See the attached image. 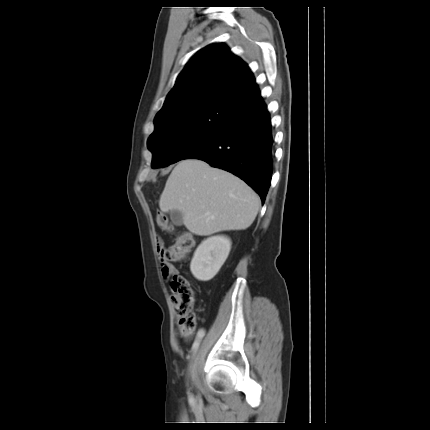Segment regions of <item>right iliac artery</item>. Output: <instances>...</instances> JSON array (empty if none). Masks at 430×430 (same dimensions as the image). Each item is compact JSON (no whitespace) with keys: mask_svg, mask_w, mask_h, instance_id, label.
Segmentation results:
<instances>
[{"mask_svg":"<svg viewBox=\"0 0 430 430\" xmlns=\"http://www.w3.org/2000/svg\"><path fill=\"white\" fill-rule=\"evenodd\" d=\"M203 337H204L203 330H198L197 337L192 345V349H191L192 352H195L198 349Z\"/></svg>","mask_w":430,"mask_h":430,"instance_id":"right-iliac-artery-1","label":"right iliac artery"}]
</instances>
